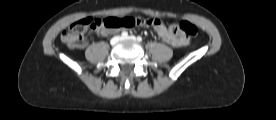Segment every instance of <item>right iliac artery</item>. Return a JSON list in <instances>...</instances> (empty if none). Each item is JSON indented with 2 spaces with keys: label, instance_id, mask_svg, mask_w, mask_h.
Masks as SVG:
<instances>
[{
  "label": "right iliac artery",
  "instance_id": "82829eb1",
  "mask_svg": "<svg viewBox=\"0 0 276 120\" xmlns=\"http://www.w3.org/2000/svg\"><path fill=\"white\" fill-rule=\"evenodd\" d=\"M121 36H122L123 38H127V37H128V32L123 31V32L121 33Z\"/></svg>",
  "mask_w": 276,
  "mask_h": 120
}]
</instances>
